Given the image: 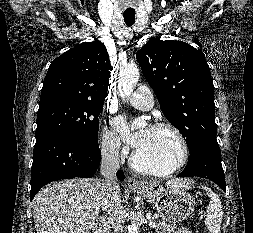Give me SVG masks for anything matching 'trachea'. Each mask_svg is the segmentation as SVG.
I'll use <instances>...</instances> for the list:
<instances>
[{
    "instance_id": "1",
    "label": "trachea",
    "mask_w": 253,
    "mask_h": 233,
    "mask_svg": "<svg viewBox=\"0 0 253 233\" xmlns=\"http://www.w3.org/2000/svg\"><path fill=\"white\" fill-rule=\"evenodd\" d=\"M124 21L127 26H132L135 22V12H124Z\"/></svg>"
}]
</instances>
